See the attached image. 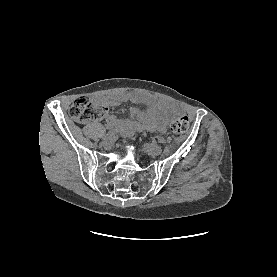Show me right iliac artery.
Segmentation results:
<instances>
[{
	"label": "right iliac artery",
	"mask_w": 277,
	"mask_h": 277,
	"mask_svg": "<svg viewBox=\"0 0 277 277\" xmlns=\"http://www.w3.org/2000/svg\"><path fill=\"white\" fill-rule=\"evenodd\" d=\"M118 132H119L118 129H111V130H109V131L105 134L104 138L111 137V136L115 135V134L118 133Z\"/></svg>",
	"instance_id": "82829eb1"
}]
</instances>
